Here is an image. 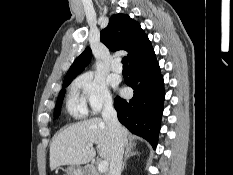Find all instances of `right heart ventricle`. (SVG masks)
Segmentation results:
<instances>
[{"label": "right heart ventricle", "instance_id": "obj_1", "mask_svg": "<svg viewBox=\"0 0 233 175\" xmlns=\"http://www.w3.org/2000/svg\"><path fill=\"white\" fill-rule=\"evenodd\" d=\"M66 109L74 118H84L87 115V108L78 93L72 88L66 101Z\"/></svg>", "mask_w": 233, "mask_h": 175}]
</instances>
